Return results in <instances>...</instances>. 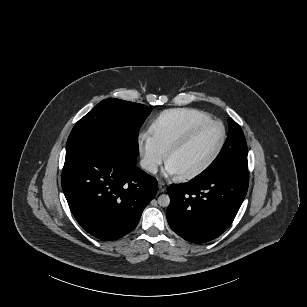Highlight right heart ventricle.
Returning a JSON list of instances; mask_svg holds the SVG:
<instances>
[{"label":"right heart ventricle","instance_id":"e07e8e85","mask_svg":"<svg viewBox=\"0 0 307 307\" xmlns=\"http://www.w3.org/2000/svg\"><path fill=\"white\" fill-rule=\"evenodd\" d=\"M211 117L196 109H169L161 112L151 123L149 133L163 152L185 138L192 130Z\"/></svg>","mask_w":307,"mask_h":307}]
</instances>
